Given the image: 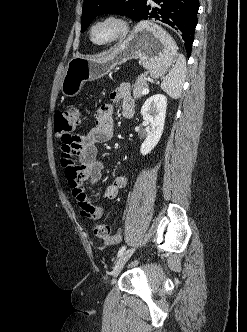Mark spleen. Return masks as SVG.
Returning <instances> with one entry per match:
<instances>
[{
    "instance_id": "obj_1",
    "label": "spleen",
    "mask_w": 247,
    "mask_h": 332,
    "mask_svg": "<svg viewBox=\"0 0 247 332\" xmlns=\"http://www.w3.org/2000/svg\"><path fill=\"white\" fill-rule=\"evenodd\" d=\"M186 74V60L184 55L178 56L175 66L170 70L168 75L164 77L161 83V89L171 98L177 99L181 96L183 82Z\"/></svg>"
}]
</instances>
